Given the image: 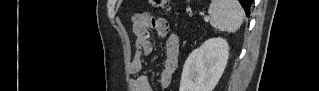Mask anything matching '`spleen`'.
I'll list each match as a JSON object with an SVG mask.
<instances>
[{"label":"spleen","instance_id":"spleen-1","mask_svg":"<svg viewBox=\"0 0 319 91\" xmlns=\"http://www.w3.org/2000/svg\"><path fill=\"white\" fill-rule=\"evenodd\" d=\"M208 13L211 26L220 31L234 33L243 22V9L237 0H212Z\"/></svg>","mask_w":319,"mask_h":91}]
</instances>
